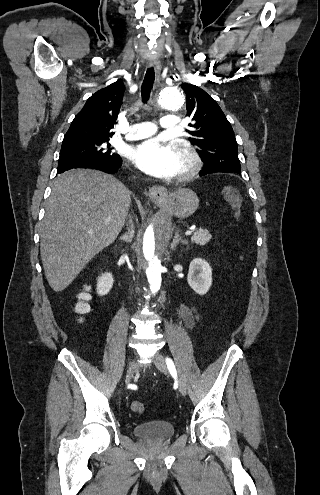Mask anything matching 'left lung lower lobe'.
<instances>
[{"label": "left lung lower lobe", "mask_w": 320, "mask_h": 495, "mask_svg": "<svg viewBox=\"0 0 320 495\" xmlns=\"http://www.w3.org/2000/svg\"><path fill=\"white\" fill-rule=\"evenodd\" d=\"M216 172H231V173H236V172H233V171H229V170H224V169H206L205 167L203 168V170L200 171L199 175L200 176H204V175H207V174H211V173H216ZM237 174H241V173H237Z\"/></svg>", "instance_id": "1"}]
</instances>
